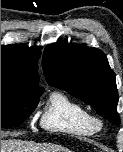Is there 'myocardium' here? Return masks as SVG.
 Here are the masks:
<instances>
[{"instance_id":"obj_1","label":"myocardium","mask_w":123,"mask_h":152,"mask_svg":"<svg viewBox=\"0 0 123 152\" xmlns=\"http://www.w3.org/2000/svg\"><path fill=\"white\" fill-rule=\"evenodd\" d=\"M90 121L95 131L100 130L103 126V122L99 117L91 116Z\"/></svg>"}]
</instances>
